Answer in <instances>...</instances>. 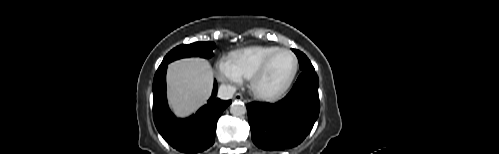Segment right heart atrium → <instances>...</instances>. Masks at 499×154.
I'll return each mask as SVG.
<instances>
[{"label":"right heart atrium","mask_w":499,"mask_h":154,"mask_svg":"<svg viewBox=\"0 0 499 154\" xmlns=\"http://www.w3.org/2000/svg\"><path fill=\"white\" fill-rule=\"evenodd\" d=\"M216 70L217 76L221 81L239 83L242 79L227 57H223L217 62Z\"/></svg>","instance_id":"d8ad5b80"}]
</instances>
